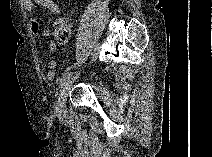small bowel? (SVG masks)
Returning a JSON list of instances; mask_svg holds the SVG:
<instances>
[{
    "label": "small bowel",
    "mask_w": 212,
    "mask_h": 157,
    "mask_svg": "<svg viewBox=\"0 0 212 157\" xmlns=\"http://www.w3.org/2000/svg\"><path fill=\"white\" fill-rule=\"evenodd\" d=\"M35 4L40 5L41 7L48 10L52 15H59L61 10L58 4L54 0H24L22 2L23 9L26 13L32 14L35 10ZM30 30L32 34L37 35L40 31V23L36 18H32L30 21ZM42 34L45 37L51 35V30L47 27L42 29ZM48 51L50 53H55L57 51V45L55 42H49ZM57 67L56 60H50L48 63V69L46 71V78L52 80L55 76V68Z\"/></svg>",
    "instance_id": "c3829d8e"
}]
</instances>
